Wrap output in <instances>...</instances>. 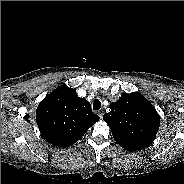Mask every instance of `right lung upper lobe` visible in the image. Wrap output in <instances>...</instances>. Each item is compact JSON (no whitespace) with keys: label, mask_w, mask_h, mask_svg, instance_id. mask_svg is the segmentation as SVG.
Masks as SVG:
<instances>
[{"label":"right lung upper lobe","mask_w":184,"mask_h":184,"mask_svg":"<svg viewBox=\"0 0 184 184\" xmlns=\"http://www.w3.org/2000/svg\"><path fill=\"white\" fill-rule=\"evenodd\" d=\"M85 98L75 88L61 85L38 105L36 122L42 136L52 145L69 147L99 121Z\"/></svg>","instance_id":"obj_1"}]
</instances>
